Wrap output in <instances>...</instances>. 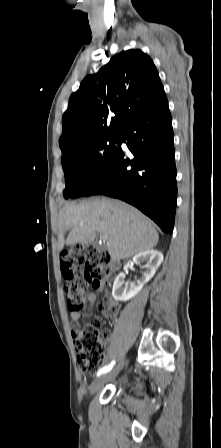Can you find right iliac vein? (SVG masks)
I'll use <instances>...</instances> for the list:
<instances>
[{
  "instance_id": "63e3f726",
  "label": "right iliac vein",
  "mask_w": 221,
  "mask_h": 448,
  "mask_svg": "<svg viewBox=\"0 0 221 448\" xmlns=\"http://www.w3.org/2000/svg\"><path fill=\"white\" fill-rule=\"evenodd\" d=\"M122 366H123V364H120L117 367H115L114 369H112L111 371H109L108 373L103 374L99 378H97L90 387V393L91 394L95 393L97 390L100 389V387L104 383L115 378L117 376V374L119 373V371L121 370Z\"/></svg>"
}]
</instances>
